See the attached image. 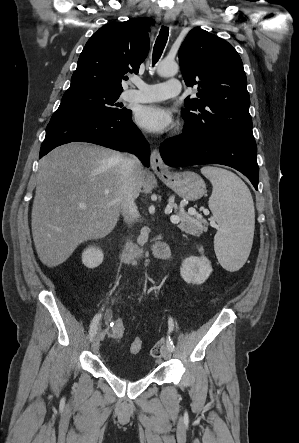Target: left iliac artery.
<instances>
[{
  "label": "left iliac artery",
  "mask_w": 299,
  "mask_h": 443,
  "mask_svg": "<svg viewBox=\"0 0 299 443\" xmlns=\"http://www.w3.org/2000/svg\"><path fill=\"white\" fill-rule=\"evenodd\" d=\"M169 324V333L172 332L173 328H174V322L172 318H169L168 321ZM167 347L169 350L174 351L175 350V346L170 338V335L168 336V340H167Z\"/></svg>",
  "instance_id": "1"
}]
</instances>
